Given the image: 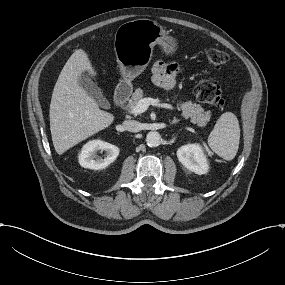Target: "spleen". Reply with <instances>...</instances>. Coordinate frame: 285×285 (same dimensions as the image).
I'll list each match as a JSON object with an SVG mask.
<instances>
[{
  "label": "spleen",
  "instance_id": "spleen-1",
  "mask_svg": "<svg viewBox=\"0 0 285 285\" xmlns=\"http://www.w3.org/2000/svg\"><path fill=\"white\" fill-rule=\"evenodd\" d=\"M240 126L237 116L226 111L218 118L207 143L211 150L225 161H232L239 148Z\"/></svg>",
  "mask_w": 285,
  "mask_h": 285
}]
</instances>
